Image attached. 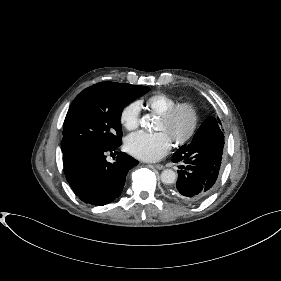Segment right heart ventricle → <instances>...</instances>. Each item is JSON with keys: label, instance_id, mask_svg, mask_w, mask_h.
I'll use <instances>...</instances> for the list:
<instances>
[{"label": "right heart ventricle", "instance_id": "1", "mask_svg": "<svg viewBox=\"0 0 281 281\" xmlns=\"http://www.w3.org/2000/svg\"><path fill=\"white\" fill-rule=\"evenodd\" d=\"M138 103L140 106H143L147 110L157 115H161L162 113L166 112L174 105H176L178 101L168 94L158 92L148 96L143 100H140Z\"/></svg>", "mask_w": 281, "mask_h": 281}]
</instances>
